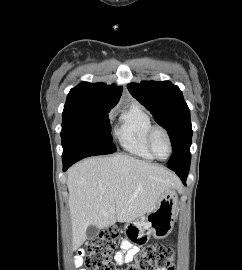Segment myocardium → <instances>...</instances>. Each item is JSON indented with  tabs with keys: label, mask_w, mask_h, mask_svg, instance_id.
Segmentation results:
<instances>
[{
	"label": "myocardium",
	"mask_w": 242,
	"mask_h": 270,
	"mask_svg": "<svg viewBox=\"0 0 242 270\" xmlns=\"http://www.w3.org/2000/svg\"><path fill=\"white\" fill-rule=\"evenodd\" d=\"M158 132H162L167 141H168V145H169V153H168V156L165 157V158H160L155 150H154V145H153V140H154V137L156 135V133ZM147 145H148V148H149V151L151 152V154L153 155V157L157 160H166L168 159L171 155H172V152H173V143H172V139H171V136L169 134V132L162 126H153L151 128V130L149 131L148 133V137H147Z\"/></svg>",
	"instance_id": "obj_1"
}]
</instances>
